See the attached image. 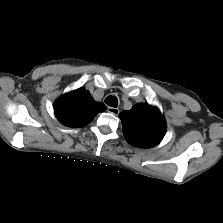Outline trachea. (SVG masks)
<instances>
[{"mask_svg": "<svg viewBox=\"0 0 223 223\" xmlns=\"http://www.w3.org/2000/svg\"><path fill=\"white\" fill-rule=\"evenodd\" d=\"M105 103L111 107H117L118 99L115 96L109 95L108 97H106Z\"/></svg>", "mask_w": 223, "mask_h": 223, "instance_id": "trachea-1", "label": "trachea"}]
</instances>
